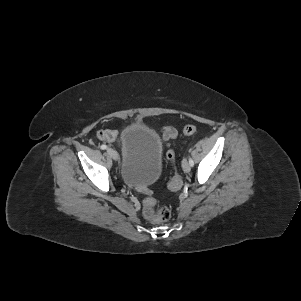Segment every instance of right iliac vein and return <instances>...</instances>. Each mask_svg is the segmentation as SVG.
<instances>
[{
	"label": "right iliac vein",
	"instance_id": "right-iliac-vein-1",
	"mask_svg": "<svg viewBox=\"0 0 301 301\" xmlns=\"http://www.w3.org/2000/svg\"><path fill=\"white\" fill-rule=\"evenodd\" d=\"M107 153L112 159H114L115 161H119V154L116 150L112 148H107Z\"/></svg>",
	"mask_w": 301,
	"mask_h": 301
}]
</instances>
